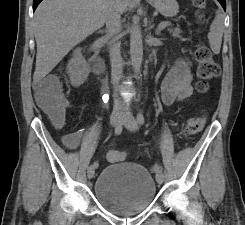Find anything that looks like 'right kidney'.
<instances>
[{
    "label": "right kidney",
    "mask_w": 245,
    "mask_h": 225,
    "mask_svg": "<svg viewBox=\"0 0 245 225\" xmlns=\"http://www.w3.org/2000/svg\"><path fill=\"white\" fill-rule=\"evenodd\" d=\"M67 73L70 83L74 87H79L86 81L90 73V66L82 56L80 48L74 50L73 56L68 62Z\"/></svg>",
    "instance_id": "right-kidney-1"
}]
</instances>
